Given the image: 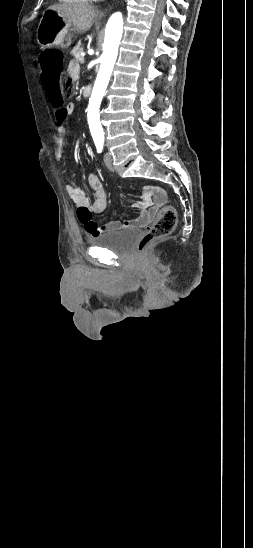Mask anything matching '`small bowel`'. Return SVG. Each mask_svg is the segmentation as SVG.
Segmentation results:
<instances>
[{
  "mask_svg": "<svg viewBox=\"0 0 253 548\" xmlns=\"http://www.w3.org/2000/svg\"><path fill=\"white\" fill-rule=\"evenodd\" d=\"M67 73L73 80H76L79 76V65L76 62L71 61L68 64ZM53 106L57 109V128L55 135L57 147L55 150V157L60 160L63 157L66 125H61L59 123V118L61 116H66L68 118L73 106L67 108L61 107V105ZM88 182L94 190L93 199H90L84 190L71 184L66 186V191L74 204L78 207L77 217L79 221L85 226L87 232L92 236L123 228L144 226L153 219L157 212L158 206L166 200V192L164 189L156 186H145L141 191L140 199L134 205L135 208L141 210L139 217L134 220H125L122 222L111 221L103 225H98L93 221L92 213L97 215L104 213L109 205V197L104 185L97 175L90 174L88 176Z\"/></svg>",
  "mask_w": 253,
  "mask_h": 548,
  "instance_id": "c3829d8e",
  "label": "small bowel"
}]
</instances>
